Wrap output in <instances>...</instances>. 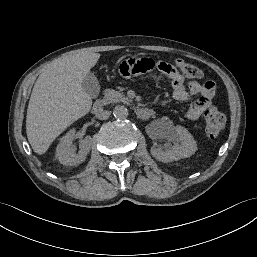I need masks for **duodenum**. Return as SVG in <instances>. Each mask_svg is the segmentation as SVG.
I'll list each match as a JSON object with an SVG mask.
<instances>
[{
    "label": "duodenum",
    "mask_w": 257,
    "mask_h": 257,
    "mask_svg": "<svg viewBox=\"0 0 257 257\" xmlns=\"http://www.w3.org/2000/svg\"><path fill=\"white\" fill-rule=\"evenodd\" d=\"M104 109V103L101 99H96L92 105L94 114H100ZM136 114L140 119H147L153 115V111L146 107H139L136 109Z\"/></svg>",
    "instance_id": "1"
}]
</instances>
